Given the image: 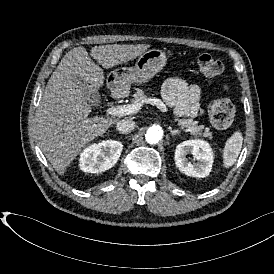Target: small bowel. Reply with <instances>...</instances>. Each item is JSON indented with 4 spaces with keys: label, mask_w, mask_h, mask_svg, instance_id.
Here are the masks:
<instances>
[{
    "label": "small bowel",
    "mask_w": 274,
    "mask_h": 274,
    "mask_svg": "<svg viewBox=\"0 0 274 274\" xmlns=\"http://www.w3.org/2000/svg\"><path fill=\"white\" fill-rule=\"evenodd\" d=\"M224 91H228L226 85ZM165 101L175 108L180 117H195L200 111V88L196 84H188L179 77L168 78L162 88Z\"/></svg>",
    "instance_id": "small-bowel-1"
}]
</instances>
